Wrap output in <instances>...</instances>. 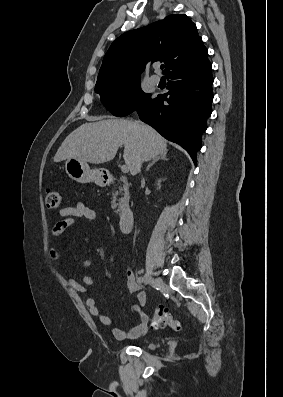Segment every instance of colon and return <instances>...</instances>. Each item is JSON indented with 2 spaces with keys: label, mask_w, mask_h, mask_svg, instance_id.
<instances>
[{
  "label": "colon",
  "mask_w": 283,
  "mask_h": 397,
  "mask_svg": "<svg viewBox=\"0 0 283 397\" xmlns=\"http://www.w3.org/2000/svg\"><path fill=\"white\" fill-rule=\"evenodd\" d=\"M45 203L51 209L60 208L62 205V197L60 193L54 189H47L45 194ZM161 325L169 326L174 330L181 329V322L174 317L173 312L164 306H157L153 312L152 326L157 328Z\"/></svg>",
  "instance_id": "1"
}]
</instances>
